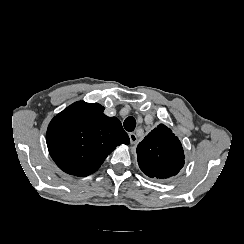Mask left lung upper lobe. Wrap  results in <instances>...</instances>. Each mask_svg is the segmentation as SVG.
I'll use <instances>...</instances> for the list:
<instances>
[{
	"mask_svg": "<svg viewBox=\"0 0 244 244\" xmlns=\"http://www.w3.org/2000/svg\"><path fill=\"white\" fill-rule=\"evenodd\" d=\"M136 152L140 169L151 178L166 179L175 176L184 166L181 142L163 124L138 144Z\"/></svg>",
	"mask_w": 244,
	"mask_h": 244,
	"instance_id": "obj_1",
	"label": "left lung upper lobe"
}]
</instances>
